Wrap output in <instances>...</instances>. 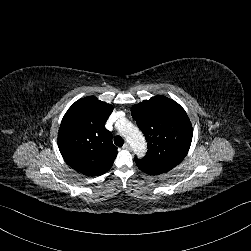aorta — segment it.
<instances>
[{
  "label": "aorta",
  "mask_w": 251,
  "mask_h": 251,
  "mask_svg": "<svg viewBox=\"0 0 251 251\" xmlns=\"http://www.w3.org/2000/svg\"><path fill=\"white\" fill-rule=\"evenodd\" d=\"M125 138L128 143L131 145L133 150L138 156L143 155L146 147L144 136L142 135L141 131L133 127L129 131H125Z\"/></svg>",
  "instance_id": "1"
}]
</instances>
